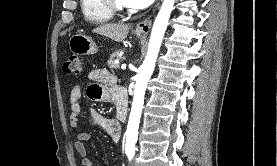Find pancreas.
Returning <instances> with one entry per match:
<instances>
[{
  "label": "pancreas",
  "instance_id": "pancreas-1",
  "mask_svg": "<svg viewBox=\"0 0 277 166\" xmlns=\"http://www.w3.org/2000/svg\"><path fill=\"white\" fill-rule=\"evenodd\" d=\"M122 55H123V50H117L110 55V58L107 63L112 72H114L119 68V64L115 63V59L116 58L121 59Z\"/></svg>",
  "mask_w": 277,
  "mask_h": 166
}]
</instances>
